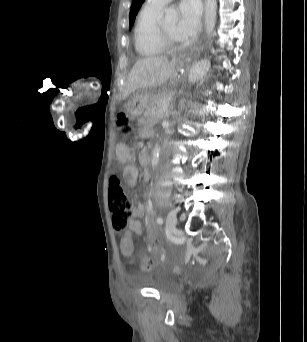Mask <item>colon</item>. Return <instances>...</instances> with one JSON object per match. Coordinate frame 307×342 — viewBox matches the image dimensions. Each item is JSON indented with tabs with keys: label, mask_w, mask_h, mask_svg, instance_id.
Masks as SVG:
<instances>
[{
	"label": "colon",
	"mask_w": 307,
	"mask_h": 342,
	"mask_svg": "<svg viewBox=\"0 0 307 342\" xmlns=\"http://www.w3.org/2000/svg\"><path fill=\"white\" fill-rule=\"evenodd\" d=\"M117 126L121 133L125 135L131 134L133 131L130 118L122 111L117 115ZM108 200L112 211L113 226L119 230L124 229L130 219L133 204L127 198L121 180L115 173L110 177ZM126 234L119 237L120 254H133L134 239H131V233L129 231ZM158 248L159 246L155 242L150 245L152 251H157ZM152 266L153 260L147 259L142 263L141 270L143 272H149Z\"/></svg>",
	"instance_id": "5ec220e1"
}]
</instances>
